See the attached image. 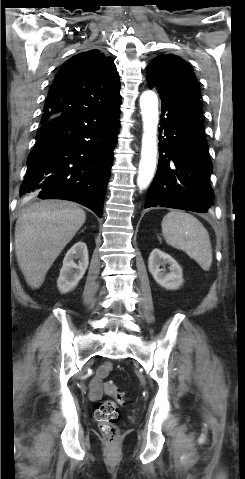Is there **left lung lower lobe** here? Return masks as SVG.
<instances>
[{
    "mask_svg": "<svg viewBox=\"0 0 245 479\" xmlns=\"http://www.w3.org/2000/svg\"><path fill=\"white\" fill-rule=\"evenodd\" d=\"M160 97L159 162L145 208L207 212L214 200L209 182L212 163L199 96Z\"/></svg>",
    "mask_w": 245,
    "mask_h": 479,
    "instance_id": "left-lung-lower-lobe-1",
    "label": "left lung lower lobe"
}]
</instances>
